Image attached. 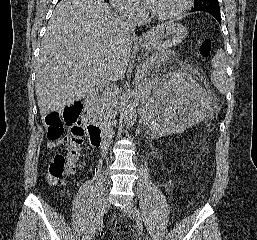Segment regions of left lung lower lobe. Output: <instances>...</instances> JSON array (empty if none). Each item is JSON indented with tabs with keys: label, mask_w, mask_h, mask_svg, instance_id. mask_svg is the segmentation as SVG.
Returning a JSON list of instances; mask_svg holds the SVG:
<instances>
[{
	"label": "left lung lower lobe",
	"mask_w": 257,
	"mask_h": 240,
	"mask_svg": "<svg viewBox=\"0 0 257 240\" xmlns=\"http://www.w3.org/2000/svg\"><path fill=\"white\" fill-rule=\"evenodd\" d=\"M207 13L211 14L220 24H221V16L220 13L208 11Z\"/></svg>",
	"instance_id": "0a47b994"
}]
</instances>
